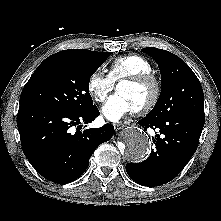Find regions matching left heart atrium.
Segmentation results:
<instances>
[{"label":"left heart atrium","mask_w":221,"mask_h":221,"mask_svg":"<svg viewBox=\"0 0 221 221\" xmlns=\"http://www.w3.org/2000/svg\"><path fill=\"white\" fill-rule=\"evenodd\" d=\"M134 111L133 105L121 93L112 95L102 107V115L111 122H117Z\"/></svg>","instance_id":"39dd6f15"}]
</instances>
